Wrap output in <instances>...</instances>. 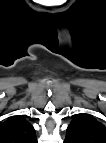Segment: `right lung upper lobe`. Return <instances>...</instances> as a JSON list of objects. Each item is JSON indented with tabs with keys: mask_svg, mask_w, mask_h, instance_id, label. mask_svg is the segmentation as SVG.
I'll return each instance as SVG.
<instances>
[{
	"mask_svg": "<svg viewBox=\"0 0 106 143\" xmlns=\"http://www.w3.org/2000/svg\"><path fill=\"white\" fill-rule=\"evenodd\" d=\"M36 139L33 126L21 116L0 123V143H31Z\"/></svg>",
	"mask_w": 106,
	"mask_h": 143,
	"instance_id": "cb5924a9",
	"label": "right lung upper lobe"
}]
</instances>
